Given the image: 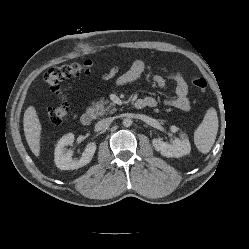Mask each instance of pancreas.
Wrapping results in <instances>:
<instances>
[{"instance_id": "1", "label": "pancreas", "mask_w": 249, "mask_h": 249, "mask_svg": "<svg viewBox=\"0 0 249 249\" xmlns=\"http://www.w3.org/2000/svg\"><path fill=\"white\" fill-rule=\"evenodd\" d=\"M92 117L96 118L98 116H104L107 114H112L116 111L115 104L109 103V101H105L103 99L97 101L91 107Z\"/></svg>"}]
</instances>
